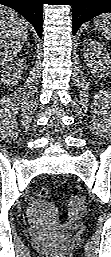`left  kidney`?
Here are the masks:
<instances>
[{
    "label": "left kidney",
    "instance_id": "5707ae66",
    "mask_svg": "<svg viewBox=\"0 0 111 257\" xmlns=\"http://www.w3.org/2000/svg\"><path fill=\"white\" fill-rule=\"evenodd\" d=\"M84 57L87 66L92 74H98L101 77L111 69V59L106 50L99 42L89 39L83 42Z\"/></svg>",
    "mask_w": 111,
    "mask_h": 257
}]
</instances>
